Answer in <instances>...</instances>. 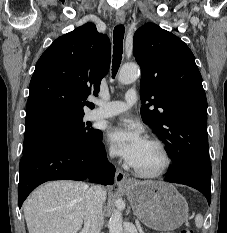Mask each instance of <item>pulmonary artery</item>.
<instances>
[{
	"label": "pulmonary artery",
	"mask_w": 227,
	"mask_h": 233,
	"mask_svg": "<svg viewBox=\"0 0 227 233\" xmlns=\"http://www.w3.org/2000/svg\"><path fill=\"white\" fill-rule=\"evenodd\" d=\"M138 100L136 90L130 89L125 94L124 101L102 102L98 101L99 107L94 110V119L111 118L128 111Z\"/></svg>",
	"instance_id": "obj_1"
}]
</instances>
